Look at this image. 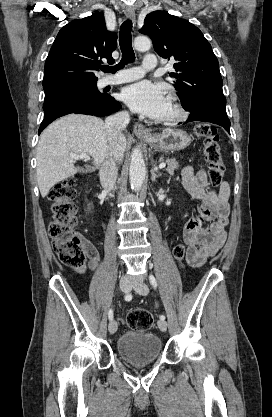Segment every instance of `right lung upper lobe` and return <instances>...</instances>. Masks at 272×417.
<instances>
[{"label":"right lung upper lobe","instance_id":"cb5924a9","mask_svg":"<svg viewBox=\"0 0 272 417\" xmlns=\"http://www.w3.org/2000/svg\"><path fill=\"white\" fill-rule=\"evenodd\" d=\"M117 34L105 28L104 15L73 20L58 33L44 68L43 89L96 83L101 63L113 61Z\"/></svg>","mask_w":272,"mask_h":417}]
</instances>
